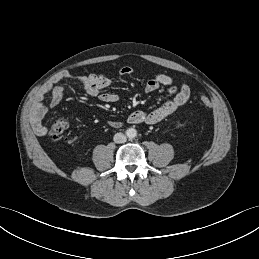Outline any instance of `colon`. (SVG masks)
Returning <instances> with one entry per match:
<instances>
[{
	"label": "colon",
	"mask_w": 259,
	"mask_h": 259,
	"mask_svg": "<svg viewBox=\"0 0 259 259\" xmlns=\"http://www.w3.org/2000/svg\"><path fill=\"white\" fill-rule=\"evenodd\" d=\"M200 102L205 109L209 110L211 108V103L207 97H201ZM67 129L68 122L64 119L58 120L51 125L49 135L55 140L66 141L68 139Z\"/></svg>",
	"instance_id": "colon-1"
}]
</instances>
